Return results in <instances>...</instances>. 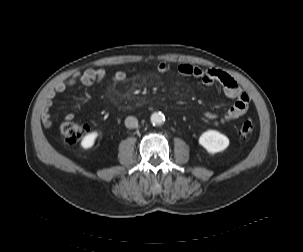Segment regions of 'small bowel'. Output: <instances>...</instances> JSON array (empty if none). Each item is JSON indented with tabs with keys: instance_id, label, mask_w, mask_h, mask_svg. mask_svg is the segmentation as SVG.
Segmentation results:
<instances>
[{
	"instance_id": "c3829d8e",
	"label": "small bowel",
	"mask_w": 303,
	"mask_h": 252,
	"mask_svg": "<svg viewBox=\"0 0 303 252\" xmlns=\"http://www.w3.org/2000/svg\"><path fill=\"white\" fill-rule=\"evenodd\" d=\"M158 70L161 73H168L171 70L170 65L167 62H161L158 65ZM176 71L181 76L193 77L201 81L205 86H211L213 84H219L223 93L229 97L235 99V103L230 107L223 115H219L213 111H205L202 116L208 120L213 126H221L237 117L245 114L249 107V96L244 89L228 74L212 68H201L195 65L187 63H179L176 67ZM128 77L125 71H117L110 78L109 84L116 85ZM107 82V73L102 68L87 69L83 72L76 73L71 77L61 80L55 84L50 91L48 98L44 103L42 112V123L45 127H51L54 123V117L51 112V108L57 95L63 93L67 88L76 84L83 85H98L102 86ZM66 120L74 118L73 113H66L64 115Z\"/></svg>"
}]
</instances>
